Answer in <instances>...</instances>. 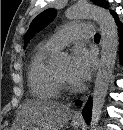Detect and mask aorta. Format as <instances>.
Segmentation results:
<instances>
[{
    "label": "aorta",
    "mask_w": 123,
    "mask_h": 130,
    "mask_svg": "<svg viewBox=\"0 0 123 130\" xmlns=\"http://www.w3.org/2000/svg\"><path fill=\"white\" fill-rule=\"evenodd\" d=\"M65 16L70 20L94 19L100 27L102 52L100 66L94 84L90 124L91 128H94L101 118L109 83L115 66L118 49L117 26L109 11L87 3H78L75 6L68 8L65 12ZM63 59L64 55L60 54L57 60L58 62H61Z\"/></svg>",
    "instance_id": "762f6f07"
}]
</instances>
